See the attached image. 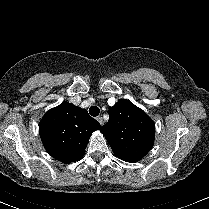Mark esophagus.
Returning a JSON list of instances; mask_svg holds the SVG:
<instances>
[{
	"mask_svg": "<svg viewBox=\"0 0 209 209\" xmlns=\"http://www.w3.org/2000/svg\"><path fill=\"white\" fill-rule=\"evenodd\" d=\"M97 121L100 123L101 126L104 124L103 118L101 116L97 117Z\"/></svg>",
	"mask_w": 209,
	"mask_h": 209,
	"instance_id": "34e87169",
	"label": "esophagus"
}]
</instances>
